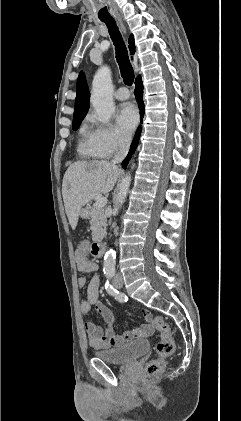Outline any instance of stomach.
Masks as SVG:
<instances>
[{
  "instance_id": "obj_1",
  "label": "stomach",
  "mask_w": 241,
  "mask_h": 421,
  "mask_svg": "<svg viewBox=\"0 0 241 421\" xmlns=\"http://www.w3.org/2000/svg\"><path fill=\"white\" fill-rule=\"evenodd\" d=\"M79 216L83 219H87L89 217L88 209L87 208L81 209Z\"/></svg>"
}]
</instances>
